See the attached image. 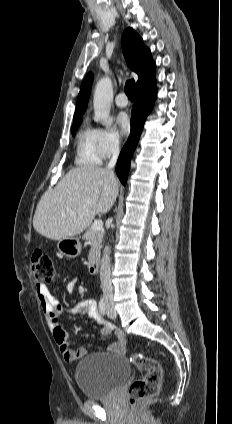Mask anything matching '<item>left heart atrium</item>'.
Listing matches in <instances>:
<instances>
[{
	"mask_svg": "<svg viewBox=\"0 0 232 424\" xmlns=\"http://www.w3.org/2000/svg\"><path fill=\"white\" fill-rule=\"evenodd\" d=\"M117 124L123 134H128L130 131V121L125 113H121L117 117Z\"/></svg>",
	"mask_w": 232,
	"mask_h": 424,
	"instance_id": "39dd6f15",
	"label": "left heart atrium"
}]
</instances>
